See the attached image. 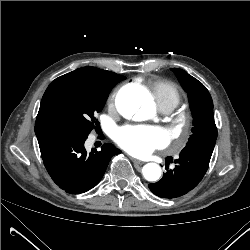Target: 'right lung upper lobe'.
<instances>
[{"label":"right lung upper lobe","instance_id":"obj_1","mask_svg":"<svg viewBox=\"0 0 250 250\" xmlns=\"http://www.w3.org/2000/svg\"><path fill=\"white\" fill-rule=\"evenodd\" d=\"M117 76H118V74H115V73L110 72V71L101 70V69H98L95 67H82V68L74 70L70 73L62 75V76L58 77L57 79H55L48 86L47 90L45 91V93L43 95L40 109H39V112H38V115L36 118V124H35L36 135L41 133V132L46 131V129L44 128V126L42 124L44 103H45L46 96L55 86H57L58 84H60L62 82L69 81V80L86 79V80L100 81V80L112 79V78L117 77Z\"/></svg>","mask_w":250,"mask_h":250}]
</instances>
